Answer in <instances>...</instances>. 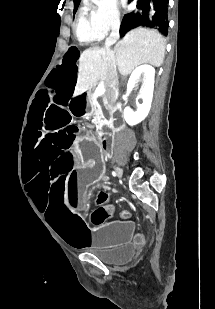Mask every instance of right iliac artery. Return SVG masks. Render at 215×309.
I'll list each match as a JSON object with an SVG mask.
<instances>
[{
	"label": "right iliac artery",
	"instance_id": "right-iliac-artery-1",
	"mask_svg": "<svg viewBox=\"0 0 215 309\" xmlns=\"http://www.w3.org/2000/svg\"><path fill=\"white\" fill-rule=\"evenodd\" d=\"M113 175L116 176L115 172H113Z\"/></svg>",
	"mask_w": 215,
	"mask_h": 309
}]
</instances>
